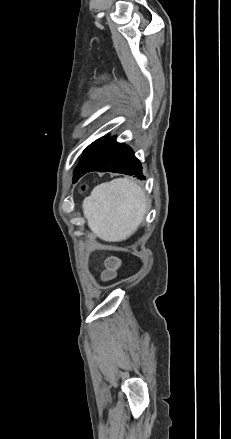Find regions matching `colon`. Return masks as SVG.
<instances>
[{"label":"colon","instance_id":"5ec220e1","mask_svg":"<svg viewBox=\"0 0 231 439\" xmlns=\"http://www.w3.org/2000/svg\"><path fill=\"white\" fill-rule=\"evenodd\" d=\"M120 261L116 257H109L105 261L106 270H103L101 273L102 279L101 282L104 285H107L109 282H112L114 279V272L119 267Z\"/></svg>","mask_w":231,"mask_h":439}]
</instances>
